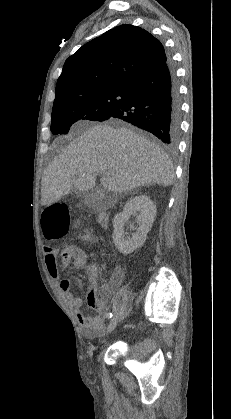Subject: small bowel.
I'll return each instance as SVG.
<instances>
[{"label": "small bowel", "mask_w": 231, "mask_h": 419, "mask_svg": "<svg viewBox=\"0 0 231 419\" xmlns=\"http://www.w3.org/2000/svg\"><path fill=\"white\" fill-rule=\"evenodd\" d=\"M82 239L89 242L93 241V237L90 234L83 235ZM44 253L47 270L51 278L56 282L57 287L61 295L65 298L68 306L76 312L77 319L82 327L83 335L88 339L97 338L105 329L104 318L102 316L89 317L82 312L83 300L78 296H74L70 292V282L67 279H61L60 277L57 258L58 253L56 249L46 247ZM70 261L75 267L83 268L87 264V254L83 249L75 245H66L61 250L60 266L65 267ZM87 302L91 308L99 313L104 312L105 304L97 297L94 287H91L88 292Z\"/></svg>", "instance_id": "c3829d8e"}]
</instances>
